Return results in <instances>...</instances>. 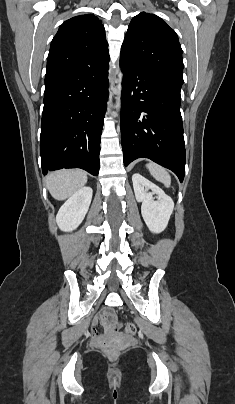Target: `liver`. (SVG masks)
<instances>
[{
    "mask_svg": "<svg viewBox=\"0 0 235 404\" xmlns=\"http://www.w3.org/2000/svg\"><path fill=\"white\" fill-rule=\"evenodd\" d=\"M87 182V174L80 169H62L50 173L46 186L56 200H65L82 188Z\"/></svg>",
    "mask_w": 235,
    "mask_h": 404,
    "instance_id": "liver-1",
    "label": "liver"
}]
</instances>
